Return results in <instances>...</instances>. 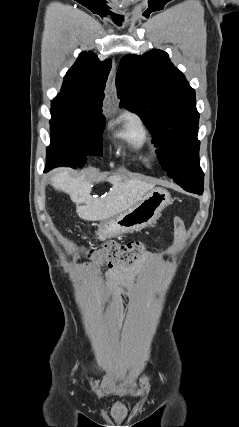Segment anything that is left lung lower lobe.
<instances>
[{
	"instance_id": "obj_1",
	"label": "left lung lower lobe",
	"mask_w": 239,
	"mask_h": 427,
	"mask_svg": "<svg viewBox=\"0 0 239 427\" xmlns=\"http://www.w3.org/2000/svg\"><path fill=\"white\" fill-rule=\"evenodd\" d=\"M203 178L200 181L192 183L190 185H180L184 190L201 195L203 193Z\"/></svg>"
}]
</instances>
